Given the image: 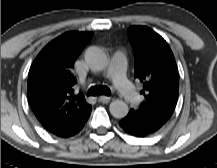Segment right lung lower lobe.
Returning <instances> with one entry per match:
<instances>
[{"mask_svg":"<svg viewBox=\"0 0 217 168\" xmlns=\"http://www.w3.org/2000/svg\"><path fill=\"white\" fill-rule=\"evenodd\" d=\"M87 121V120H86ZM85 121V122H86ZM85 122H83L81 125H79L77 128H75L74 130H72L71 132L63 135V136H60V137H63V138H68V137H71V136H74L75 134H77L80 130H82V128L84 127V124Z\"/></svg>","mask_w":217,"mask_h":168,"instance_id":"obj_1","label":"right lung lower lobe"}]
</instances>
